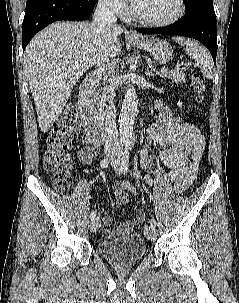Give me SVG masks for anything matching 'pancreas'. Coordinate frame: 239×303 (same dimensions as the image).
Masks as SVG:
<instances>
[{
	"instance_id": "pancreas-1",
	"label": "pancreas",
	"mask_w": 239,
	"mask_h": 303,
	"mask_svg": "<svg viewBox=\"0 0 239 303\" xmlns=\"http://www.w3.org/2000/svg\"><path fill=\"white\" fill-rule=\"evenodd\" d=\"M185 68L177 67L168 72H161L160 76L171 79L173 82L181 84L185 82Z\"/></svg>"
}]
</instances>
